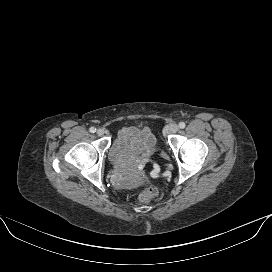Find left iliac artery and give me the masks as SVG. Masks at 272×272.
<instances>
[{
  "mask_svg": "<svg viewBox=\"0 0 272 272\" xmlns=\"http://www.w3.org/2000/svg\"><path fill=\"white\" fill-rule=\"evenodd\" d=\"M185 126H186V124H185L184 122H180V123H179V127H180L181 129L185 128Z\"/></svg>",
  "mask_w": 272,
  "mask_h": 272,
  "instance_id": "1",
  "label": "left iliac artery"
}]
</instances>
